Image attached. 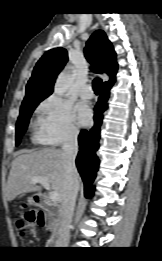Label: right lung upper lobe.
Wrapping results in <instances>:
<instances>
[{
    "mask_svg": "<svg viewBox=\"0 0 162 261\" xmlns=\"http://www.w3.org/2000/svg\"><path fill=\"white\" fill-rule=\"evenodd\" d=\"M86 59L94 67L93 71L106 73L110 80L103 87H112L118 69L116 53L111 42L102 30L95 31L87 41L84 49ZM68 61L67 51L64 48H55L47 51L34 67L31 78L26 86L24 100L49 96L57 75Z\"/></svg>",
    "mask_w": 162,
    "mask_h": 261,
    "instance_id": "obj_1",
    "label": "right lung upper lobe"
}]
</instances>
